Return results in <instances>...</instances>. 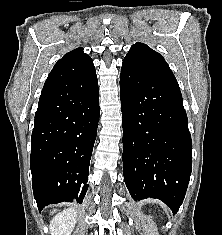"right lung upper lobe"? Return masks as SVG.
<instances>
[{"mask_svg":"<svg viewBox=\"0 0 222 235\" xmlns=\"http://www.w3.org/2000/svg\"><path fill=\"white\" fill-rule=\"evenodd\" d=\"M94 70L95 67L91 57L83 52V48H76L66 53L55 64L47 80L66 81L86 75Z\"/></svg>","mask_w":222,"mask_h":235,"instance_id":"1","label":"right lung upper lobe"}]
</instances>
